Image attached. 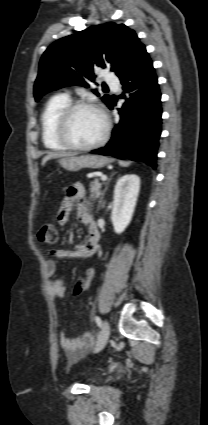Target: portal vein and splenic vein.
I'll use <instances>...</instances> for the list:
<instances>
[{"label": "portal vein and splenic vein", "mask_w": 208, "mask_h": 425, "mask_svg": "<svg viewBox=\"0 0 208 425\" xmlns=\"http://www.w3.org/2000/svg\"><path fill=\"white\" fill-rule=\"evenodd\" d=\"M101 180H102V181H106V180H107V176H106V175H102V176H101Z\"/></svg>", "instance_id": "1"}]
</instances>
